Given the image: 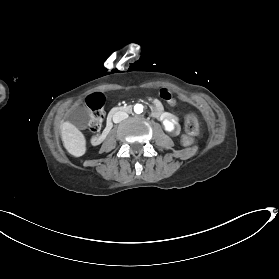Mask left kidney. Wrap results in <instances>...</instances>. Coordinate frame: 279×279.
<instances>
[{"mask_svg":"<svg viewBox=\"0 0 279 279\" xmlns=\"http://www.w3.org/2000/svg\"><path fill=\"white\" fill-rule=\"evenodd\" d=\"M163 124H164V127H165L166 131H168V132L174 131L175 126H174V124L172 122H170L168 120H164Z\"/></svg>","mask_w":279,"mask_h":279,"instance_id":"1","label":"left kidney"}]
</instances>
